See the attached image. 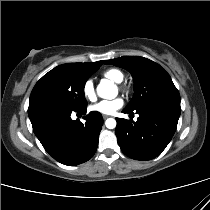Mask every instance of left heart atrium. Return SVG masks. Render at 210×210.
Returning <instances> with one entry per match:
<instances>
[{"label":"left heart atrium","mask_w":210,"mask_h":210,"mask_svg":"<svg viewBox=\"0 0 210 210\" xmlns=\"http://www.w3.org/2000/svg\"><path fill=\"white\" fill-rule=\"evenodd\" d=\"M123 106V100L121 98H114L111 100H102L89 107L93 112L103 115L114 114L118 109Z\"/></svg>","instance_id":"39dd6f15"}]
</instances>
